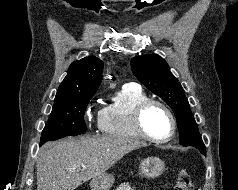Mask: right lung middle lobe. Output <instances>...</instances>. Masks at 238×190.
<instances>
[{
	"mask_svg": "<svg viewBox=\"0 0 238 190\" xmlns=\"http://www.w3.org/2000/svg\"><path fill=\"white\" fill-rule=\"evenodd\" d=\"M94 94H80L73 98L54 102L51 115L45 125L41 144L67 135L85 132V108Z\"/></svg>",
	"mask_w": 238,
	"mask_h": 190,
	"instance_id": "dd1d6c3e",
	"label": "right lung middle lobe"
}]
</instances>
